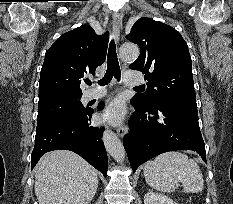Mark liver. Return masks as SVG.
Returning <instances> with one entry per match:
<instances>
[{
	"label": "liver",
	"mask_w": 233,
	"mask_h": 204,
	"mask_svg": "<svg viewBox=\"0 0 233 204\" xmlns=\"http://www.w3.org/2000/svg\"><path fill=\"white\" fill-rule=\"evenodd\" d=\"M97 187L96 170L71 151L48 152L35 167V195L39 204H88Z\"/></svg>",
	"instance_id": "liver-1"
}]
</instances>
